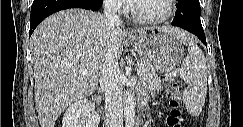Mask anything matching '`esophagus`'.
Listing matches in <instances>:
<instances>
[{"label":"esophagus","instance_id":"1","mask_svg":"<svg viewBox=\"0 0 243 127\" xmlns=\"http://www.w3.org/2000/svg\"><path fill=\"white\" fill-rule=\"evenodd\" d=\"M127 33H129V34H130V33H132V31H131V30H128V31H127Z\"/></svg>","mask_w":243,"mask_h":127}]
</instances>
